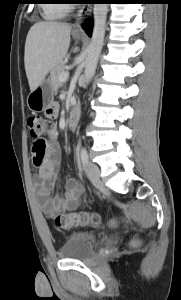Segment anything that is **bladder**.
Segmentation results:
<instances>
[{"label": "bladder", "instance_id": "31cf9c89", "mask_svg": "<svg viewBox=\"0 0 181 300\" xmlns=\"http://www.w3.org/2000/svg\"><path fill=\"white\" fill-rule=\"evenodd\" d=\"M97 235L86 231L73 232L62 247V257L67 260H83L94 251Z\"/></svg>", "mask_w": 181, "mask_h": 300}]
</instances>
